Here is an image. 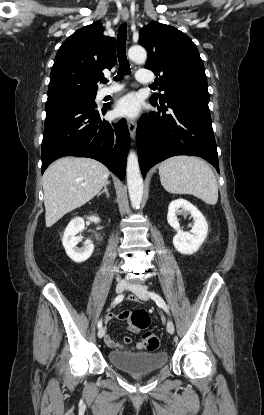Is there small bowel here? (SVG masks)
Instances as JSON below:
<instances>
[{
    "label": "small bowel",
    "mask_w": 264,
    "mask_h": 415,
    "mask_svg": "<svg viewBox=\"0 0 264 415\" xmlns=\"http://www.w3.org/2000/svg\"><path fill=\"white\" fill-rule=\"evenodd\" d=\"M132 300L134 301H138V299L136 297L132 298ZM106 322H110L112 320H120L123 322H129L130 320V313L129 312H119V313H108L105 317ZM127 330L132 332V333H138L139 332V328L135 327L134 325L128 323L127 326ZM104 340L105 343L112 348H122L124 346H129L132 342V339L130 336H124L123 337V341L122 343L118 342L117 340H115L111 335L106 334L104 335ZM143 349V345L142 342H137L134 346H132L130 348V350H134V351H140Z\"/></svg>",
    "instance_id": "1"
}]
</instances>
